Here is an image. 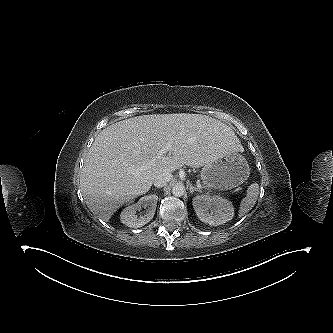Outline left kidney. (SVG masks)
Here are the masks:
<instances>
[{
    "label": "left kidney",
    "mask_w": 333,
    "mask_h": 333,
    "mask_svg": "<svg viewBox=\"0 0 333 333\" xmlns=\"http://www.w3.org/2000/svg\"><path fill=\"white\" fill-rule=\"evenodd\" d=\"M192 203L197 217L212 226L224 224L234 216L232 202L219 196L198 195Z\"/></svg>",
    "instance_id": "1"
}]
</instances>
